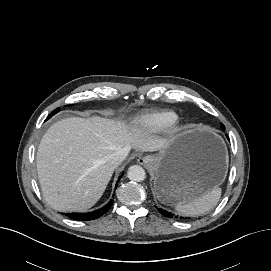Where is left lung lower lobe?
Listing matches in <instances>:
<instances>
[{"label": "left lung lower lobe", "mask_w": 271, "mask_h": 271, "mask_svg": "<svg viewBox=\"0 0 271 271\" xmlns=\"http://www.w3.org/2000/svg\"><path fill=\"white\" fill-rule=\"evenodd\" d=\"M157 210L159 211V213H161L165 217H168V218H178V216L174 215L173 213H171L169 211H166L165 209L157 208ZM180 219H184V218L180 217Z\"/></svg>", "instance_id": "obj_1"}]
</instances>
